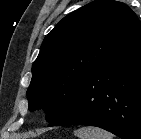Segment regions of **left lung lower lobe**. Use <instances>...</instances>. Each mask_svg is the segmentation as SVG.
<instances>
[{
	"label": "left lung lower lobe",
	"instance_id": "1",
	"mask_svg": "<svg viewBox=\"0 0 141 139\" xmlns=\"http://www.w3.org/2000/svg\"><path fill=\"white\" fill-rule=\"evenodd\" d=\"M90 125L141 139V31L101 63L50 126Z\"/></svg>",
	"mask_w": 141,
	"mask_h": 139
}]
</instances>
